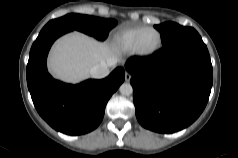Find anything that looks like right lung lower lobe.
<instances>
[{
	"label": "right lung lower lobe",
	"instance_id": "obj_1",
	"mask_svg": "<svg viewBox=\"0 0 238 158\" xmlns=\"http://www.w3.org/2000/svg\"><path fill=\"white\" fill-rule=\"evenodd\" d=\"M69 31L72 30L51 28L40 32L29 54L27 85L38 113L51 127L68 135H80L100 124L106 104L123 83L125 72L118 67L105 79L77 85L53 79L46 68L47 54L52 43Z\"/></svg>",
	"mask_w": 238,
	"mask_h": 158
}]
</instances>
